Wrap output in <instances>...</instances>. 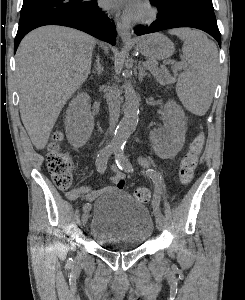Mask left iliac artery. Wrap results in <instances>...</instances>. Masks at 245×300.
<instances>
[{
	"label": "left iliac artery",
	"instance_id": "1",
	"mask_svg": "<svg viewBox=\"0 0 245 300\" xmlns=\"http://www.w3.org/2000/svg\"><path fill=\"white\" fill-rule=\"evenodd\" d=\"M114 154H115V162L121 170H124L126 172H133L132 164L130 163V161L127 159V157L124 154L123 146H117L115 148ZM150 177L152 178L153 182L155 183V187H156V193L153 198L154 199L153 208H154L155 217L159 218L161 220H164V216L158 208V204H160L163 199L162 193H161V186H160L161 176H159V174H157V173L151 172Z\"/></svg>",
	"mask_w": 245,
	"mask_h": 300
}]
</instances>
